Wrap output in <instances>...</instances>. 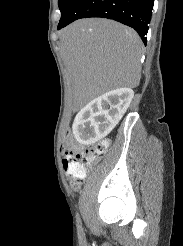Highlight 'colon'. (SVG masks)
Returning <instances> with one entry per match:
<instances>
[{"label":"colon","instance_id":"colon-1","mask_svg":"<svg viewBox=\"0 0 183 246\" xmlns=\"http://www.w3.org/2000/svg\"><path fill=\"white\" fill-rule=\"evenodd\" d=\"M108 147L106 140L92 144L86 148H78L69 131L65 132L62 151L64 169L70 174L75 182H80L84 176L86 167L103 157Z\"/></svg>","mask_w":183,"mask_h":246}]
</instances>
